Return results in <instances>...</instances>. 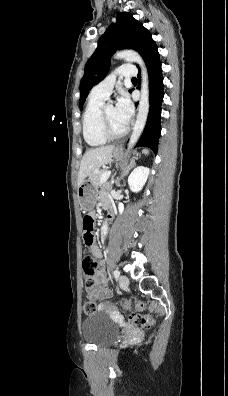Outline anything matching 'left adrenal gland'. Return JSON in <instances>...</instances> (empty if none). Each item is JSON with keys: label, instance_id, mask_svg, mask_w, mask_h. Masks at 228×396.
<instances>
[{"label": "left adrenal gland", "instance_id": "1", "mask_svg": "<svg viewBox=\"0 0 228 396\" xmlns=\"http://www.w3.org/2000/svg\"><path fill=\"white\" fill-rule=\"evenodd\" d=\"M136 158L134 160H132V162L130 163V165L127 167V169L124 171L122 177L124 176V174H126L128 172V170H130L133 166H135L136 162H135ZM121 177V178H122ZM119 181L120 178H117V180H115V183L119 186Z\"/></svg>", "mask_w": 228, "mask_h": 396}]
</instances>
